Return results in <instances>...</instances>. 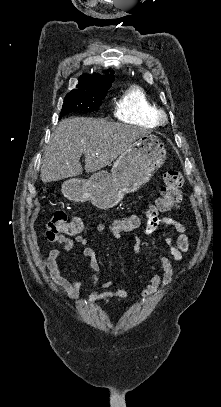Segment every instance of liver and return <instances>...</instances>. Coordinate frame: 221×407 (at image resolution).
Wrapping results in <instances>:
<instances>
[{"instance_id": "1", "label": "liver", "mask_w": 221, "mask_h": 407, "mask_svg": "<svg viewBox=\"0 0 221 407\" xmlns=\"http://www.w3.org/2000/svg\"><path fill=\"white\" fill-rule=\"evenodd\" d=\"M148 133L144 128L106 119H62L46 147L41 179L46 183L81 175L82 154L87 173L101 170L120 156L134 140Z\"/></svg>"}]
</instances>
